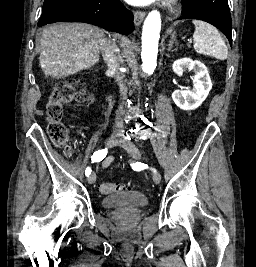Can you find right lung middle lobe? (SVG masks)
Returning a JSON list of instances; mask_svg holds the SVG:
<instances>
[{"mask_svg": "<svg viewBox=\"0 0 256 267\" xmlns=\"http://www.w3.org/2000/svg\"><path fill=\"white\" fill-rule=\"evenodd\" d=\"M84 0H45L44 4H43V8L55 4V3H60V2H69V3H79L82 2Z\"/></svg>", "mask_w": 256, "mask_h": 267, "instance_id": "right-lung-middle-lobe-1", "label": "right lung middle lobe"}]
</instances>
